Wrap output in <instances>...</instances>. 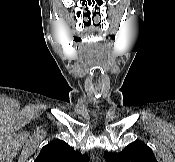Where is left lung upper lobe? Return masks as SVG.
<instances>
[{
    "label": "left lung upper lobe",
    "mask_w": 175,
    "mask_h": 162,
    "mask_svg": "<svg viewBox=\"0 0 175 162\" xmlns=\"http://www.w3.org/2000/svg\"><path fill=\"white\" fill-rule=\"evenodd\" d=\"M107 162H157L152 149L142 141L130 143L122 152H104Z\"/></svg>",
    "instance_id": "5c2ea615"
}]
</instances>
